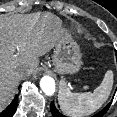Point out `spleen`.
<instances>
[{"label":"spleen","mask_w":117,"mask_h":117,"mask_svg":"<svg viewBox=\"0 0 117 117\" xmlns=\"http://www.w3.org/2000/svg\"><path fill=\"white\" fill-rule=\"evenodd\" d=\"M113 86V72L108 70L103 81L93 93H72L65 81H60L58 102L69 117H84L93 114L108 99Z\"/></svg>","instance_id":"spleen-1"}]
</instances>
